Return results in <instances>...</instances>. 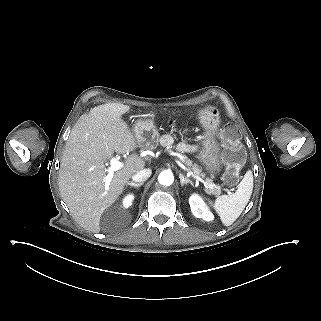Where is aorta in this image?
Wrapping results in <instances>:
<instances>
[{
    "mask_svg": "<svg viewBox=\"0 0 321 321\" xmlns=\"http://www.w3.org/2000/svg\"><path fill=\"white\" fill-rule=\"evenodd\" d=\"M158 181L162 185L170 186L174 182V176L171 171H163L158 176Z\"/></svg>",
    "mask_w": 321,
    "mask_h": 321,
    "instance_id": "762f6f07",
    "label": "aorta"
}]
</instances>
